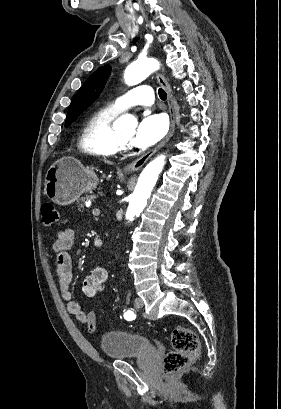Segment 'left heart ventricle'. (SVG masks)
<instances>
[{
	"mask_svg": "<svg viewBox=\"0 0 281 409\" xmlns=\"http://www.w3.org/2000/svg\"><path fill=\"white\" fill-rule=\"evenodd\" d=\"M118 131L120 137L123 139V141L128 145V146H133L132 144V138L135 133V127L133 128H128V127H122V128H116Z\"/></svg>",
	"mask_w": 281,
	"mask_h": 409,
	"instance_id": "b2bd125f",
	"label": "left heart ventricle"
}]
</instances>
